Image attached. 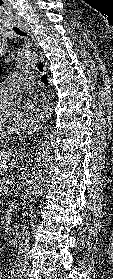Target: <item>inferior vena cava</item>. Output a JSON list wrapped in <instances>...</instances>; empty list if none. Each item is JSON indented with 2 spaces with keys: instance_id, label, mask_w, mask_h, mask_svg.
I'll return each mask as SVG.
<instances>
[{
  "instance_id": "602c4592",
  "label": "inferior vena cava",
  "mask_w": 113,
  "mask_h": 279,
  "mask_svg": "<svg viewBox=\"0 0 113 279\" xmlns=\"http://www.w3.org/2000/svg\"><path fill=\"white\" fill-rule=\"evenodd\" d=\"M29 232L28 228L24 225L22 232V239L19 243L18 255L15 261V266L21 275L29 274Z\"/></svg>"
}]
</instances>
